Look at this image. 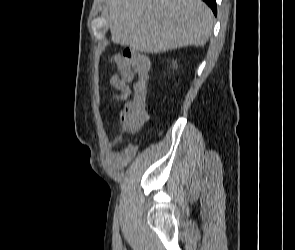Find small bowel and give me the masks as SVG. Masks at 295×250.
Wrapping results in <instances>:
<instances>
[{
	"label": "small bowel",
	"mask_w": 295,
	"mask_h": 250,
	"mask_svg": "<svg viewBox=\"0 0 295 250\" xmlns=\"http://www.w3.org/2000/svg\"><path fill=\"white\" fill-rule=\"evenodd\" d=\"M150 68L148 56L136 52L119 61L118 74L110 80L111 86L117 91L114 97L117 100L128 98L130 91L127 84L135 78L148 80Z\"/></svg>",
	"instance_id": "small-bowel-1"
}]
</instances>
